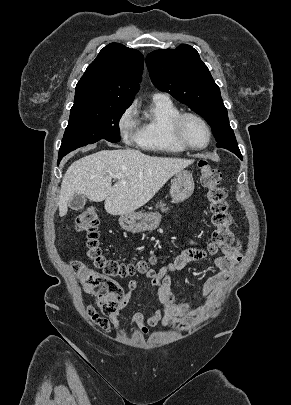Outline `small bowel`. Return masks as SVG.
Instances as JSON below:
<instances>
[{
    "label": "small bowel",
    "instance_id": "1",
    "mask_svg": "<svg viewBox=\"0 0 291 405\" xmlns=\"http://www.w3.org/2000/svg\"><path fill=\"white\" fill-rule=\"evenodd\" d=\"M183 238L188 244V248L183 250L174 262L163 265L157 271L150 269L145 272V277L150 280L158 296L160 306L155 309L151 308L147 316L141 312H135L132 315V326L136 327L141 335L150 334L151 328L157 326H177L179 331L187 332L207 320L233 278L235 266L242 259L239 244L222 248V256L214 262L219 272L205 282L201 294L190 301L178 300L170 290L173 273L184 269L190 262L200 260L206 255L199 242L187 236ZM137 286L138 279L134 278L128 281L127 292L120 301L119 309L128 304L131 294ZM87 314L94 323L104 330H109L111 326L116 330L120 328L118 312L109 316V319H105L98 315L93 306L89 305Z\"/></svg>",
    "mask_w": 291,
    "mask_h": 405
}]
</instances>
